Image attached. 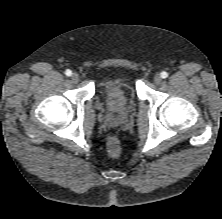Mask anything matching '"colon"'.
Returning <instances> with one entry per match:
<instances>
[{
	"label": "colon",
	"instance_id": "obj_1",
	"mask_svg": "<svg viewBox=\"0 0 222 219\" xmlns=\"http://www.w3.org/2000/svg\"><path fill=\"white\" fill-rule=\"evenodd\" d=\"M106 149L109 156L116 158L119 157L121 153V141L117 136H111L107 140Z\"/></svg>",
	"mask_w": 222,
	"mask_h": 219
}]
</instances>
